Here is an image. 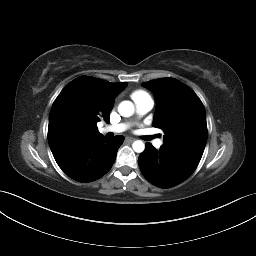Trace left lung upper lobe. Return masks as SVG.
<instances>
[{"instance_id": "1", "label": "left lung upper lobe", "mask_w": 256, "mask_h": 256, "mask_svg": "<svg viewBox=\"0 0 256 256\" xmlns=\"http://www.w3.org/2000/svg\"><path fill=\"white\" fill-rule=\"evenodd\" d=\"M157 100L153 126L164 131L161 149L198 165L207 141L204 106L194 91L173 78L142 84Z\"/></svg>"}]
</instances>
